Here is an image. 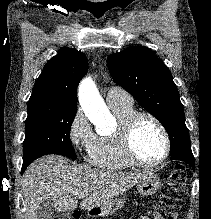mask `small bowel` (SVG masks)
<instances>
[{"mask_svg": "<svg viewBox=\"0 0 211 219\" xmlns=\"http://www.w3.org/2000/svg\"><path fill=\"white\" fill-rule=\"evenodd\" d=\"M139 219H176V215L169 214L166 218H164L159 212L150 211L147 214L141 215Z\"/></svg>", "mask_w": 211, "mask_h": 219, "instance_id": "small-bowel-1", "label": "small bowel"}]
</instances>
